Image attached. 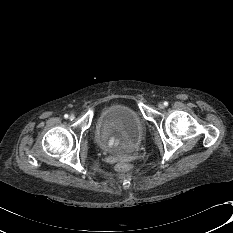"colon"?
Instances as JSON below:
<instances>
[{
    "mask_svg": "<svg viewBox=\"0 0 233 233\" xmlns=\"http://www.w3.org/2000/svg\"><path fill=\"white\" fill-rule=\"evenodd\" d=\"M117 169L119 171H125L126 170V165L125 164H119V165H117Z\"/></svg>",
    "mask_w": 233,
    "mask_h": 233,
    "instance_id": "colon-1",
    "label": "colon"
}]
</instances>
